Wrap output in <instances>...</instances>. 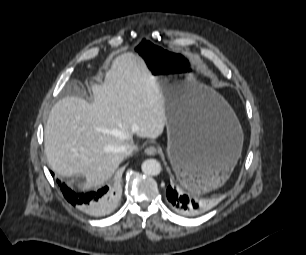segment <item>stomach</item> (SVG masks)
<instances>
[{
	"mask_svg": "<svg viewBox=\"0 0 306 255\" xmlns=\"http://www.w3.org/2000/svg\"><path fill=\"white\" fill-rule=\"evenodd\" d=\"M132 51L143 59L164 98L167 154L187 188L208 191L224 184L241 155L243 131L222 96L196 80L187 54L157 46L151 35H138ZM184 165H194L198 180L182 181Z\"/></svg>",
	"mask_w": 306,
	"mask_h": 255,
	"instance_id": "obj_1",
	"label": "stomach"
}]
</instances>
